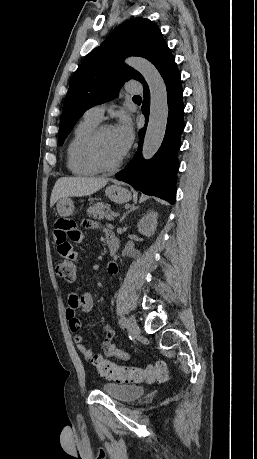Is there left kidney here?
Returning a JSON list of instances; mask_svg holds the SVG:
<instances>
[{"mask_svg": "<svg viewBox=\"0 0 257 459\" xmlns=\"http://www.w3.org/2000/svg\"><path fill=\"white\" fill-rule=\"evenodd\" d=\"M157 212H150L146 214L137 224L138 231L146 236H152L157 227Z\"/></svg>", "mask_w": 257, "mask_h": 459, "instance_id": "obj_1", "label": "left kidney"}]
</instances>
